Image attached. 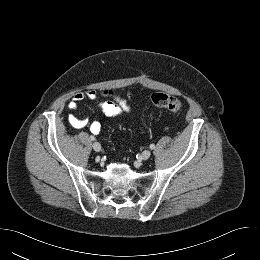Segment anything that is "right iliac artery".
Instances as JSON below:
<instances>
[{
  "instance_id": "82829eb1",
  "label": "right iliac artery",
  "mask_w": 260,
  "mask_h": 260,
  "mask_svg": "<svg viewBox=\"0 0 260 260\" xmlns=\"http://www.w3.org/2000/svg\"><path fill=\"white\" fill-rule=\"evenodd\" d=\"M90 139L92 140V141H94L95 140V137L94 136H90Z\"/></svg>"
}]
</instances>
